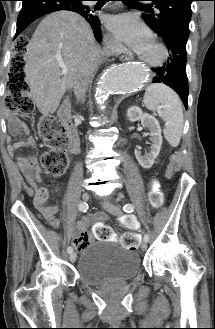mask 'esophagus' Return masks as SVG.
<instances>
[{
	"mask_svg": "<svg viewBox=\"0 0 215 329\" xmlns=\"http://www.w3.org/2000/svg\"><path fill=\"white\" fill-rule=\"evenodd\" d=\"M120 58H121V60H130L131 59V57L127 54L121 55Z\"/></svg>",
	"mask_w": 215,
	"mask_h": 329,
	"instance_id": "1",
	"label": "esophagus"
}]
</instances>
